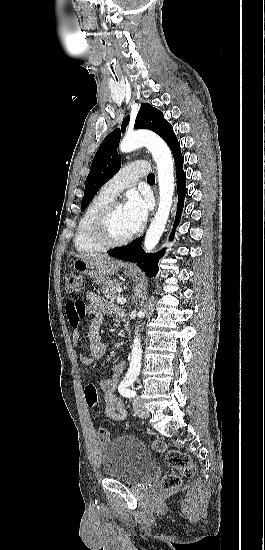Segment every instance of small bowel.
I'll return each instance as SVG.
<instances>
[{
    "label": "small bowel",
    "instance_id": "c3829d8e",
    "mask_svg": "<svg viewBox=\"0 0 265 550\" xmlns=\"http://www.w3.org/2000/svg\"><path fill=\"white\" fill-rule=\"evenodd\" d=\"M83 298L89 303L88 306L85 305L83 316H92L87 330L89 354H83L79 350V340L81 334L78 326L73 328L72 341L75 346V351L79 362L82 365L88 366L95 360L104 358L108 352L106 344H104L101 340L103 317L105 315H115L125 320L126 314L118 306L109 303L92 291L85 292ZM66 312L69 319L71 315L78 313V307L74 306L73 302H70L66 307ZM125 366L126 364L124 361L118 362L113 369L111 378L103 379L100 382V388L103 392L105 401V415L113 421H123L127 416V411L123 401L116 395Z\"/></svg>",
    "mask_w": 265,
    "mask_h": 550
}]
</instances>
